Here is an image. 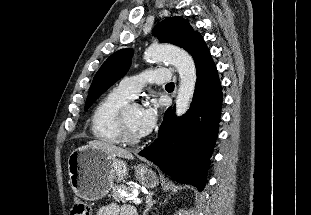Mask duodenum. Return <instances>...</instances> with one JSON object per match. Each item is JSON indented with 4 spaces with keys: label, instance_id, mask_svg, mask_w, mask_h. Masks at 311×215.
<instances>
[{
    "label": "duodenum",
    "instance_id": "obj_1",
    "mask_svg": "<svg viewBox=\"0 0 311 215\" xmlns=\"http://www.w3.org/2000/svg\"><path fill=\"white\" fill-rule=\"evenodd\" d=\"M133 215H137V213H133Z\"/></svg>",
    "mask_w": 311,
    "mask_h": 215
}]
</instances>
